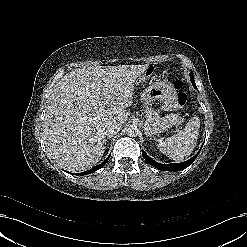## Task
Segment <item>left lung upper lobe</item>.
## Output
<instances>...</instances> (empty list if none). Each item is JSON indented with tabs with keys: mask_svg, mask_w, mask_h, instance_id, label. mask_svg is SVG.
<instances>
[{
	"mask_svg": "<svg viewBox=\"0 0 247 247\" xmlns=\"http://www.w3.org/2000/svg\"><path fill=\"white\" fill-rule=\"evenodd\" d=\"M190 79H194L192 74H190Z\"/></svg>",
	"mask_w": 247,
	"mask_h": 247,
	"instance_id": "5c2ea615",
	"label": "left lung upper lobe"
}]
</instances>
